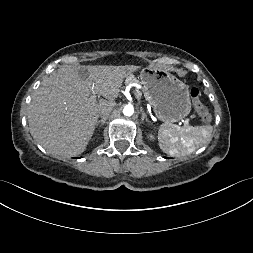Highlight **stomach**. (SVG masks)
I'll use <instances>...</instances> for the list:
<instances>
[{
    "label": "stomach",
    "mask_w": 253,
    "mask_h": 253,
    "mask_svg": "<svg viewBox=\"0 0 253 253\" xmlns=\"http://www.w3.org/2000/svg\"><path fill=\"white\" fill-rule=\"evenodd\" d=\"M146 100L157 118L173 124L191 112L189 87L167 70L145 66L139 75Z\"/></svg>",
    "instance_id": "0dacf381"
}]
</instances>
